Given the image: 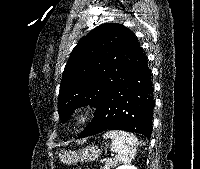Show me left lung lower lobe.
Returning <instances> with one entry per match:
<instances>
[{"mask_svg":"<svg viewBox=\"0 0 200 169\" xmlns=\"http://www.w3.org/2000/svg\"><path fill=\"white\" fill-rule=\"evenodd\" d=\"M154 104L151 71L145 57L105 95L96 107L95 117L78 138L106 130H125L140 133L149 139Z\"/></svg>","mask_w":200,"mask_h":169,"instance_id":"1","label":"left lung lower lobe"}]
</instances>
